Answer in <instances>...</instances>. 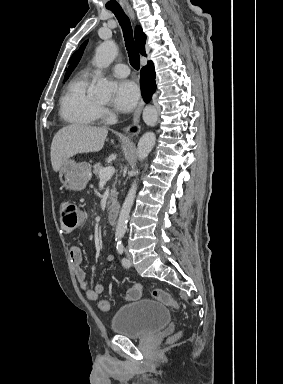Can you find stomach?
I'll return each mask as SVG.
<instances>
[{
    "label": "stomach",
    "instance_id": "stomach-1",
    "mask_svg": "<svg viewBox=\"0 0 283 384\" xmlns=\"http://www.w3.org/2000/svg\"><path fill=\"white\" fill-rule=\"evenodd\" d=\"M91 178V166L88 162H78L77 164L74 160H67L59 172L62 186L66 190H74V192L84 190Z\"/></svg>",
    "mask_w": 283,
    "mask_h": 384
}]
</instances>
